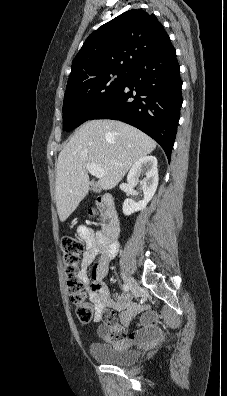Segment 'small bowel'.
<instances>
[{
	"mask_svg": "<svg viewBox=\"0 0 227 396\" xmlns=\"http://www.w3.org/2000/svg\"><path fill=\"white\" fill-rule=\"evenodd\" d=\"M79 236L84 240L86 251L83 254L78 277L86 286L89 299L96 309L95 320L104 322L98 327V337L110 343L135 342L141 346H152L163 337V331L156 326L157 314L145 305L132 301L127 294L111 295L108 286L103 281L107 275L110 261L118 253L117 242H107L100 234H96L87 226H80ZM96 260L91 275L89 266ZM115 312L119 313V322ZM140 317V328L129 333L127 328L134 318Z\"/></svg>",
	"mask_w": 227,
	"mask_h": 396,
	"instance_id": "small-bowel-1",
	"label": "small bowel"
}]
</instances>
